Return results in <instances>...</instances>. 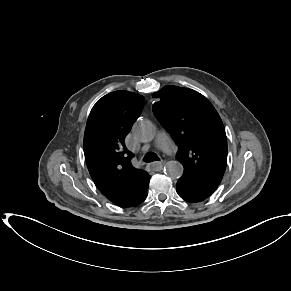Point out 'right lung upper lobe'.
Here are the masks:
<instances>
[{
  "label": "right lung upper lobe",
  "mask_w": 291,
  "mask_h": 291,
  "mask_svg": "<svg viewBox=\"0 0 291 291\" xmlns=\"http://www.w3.org/2000/svg\"><path fill=\"white\" fill-rule=\"evenodd\" d=\"M144 106V97L114 91L93 106L84 133L86 164L97 188L110 201L131 204L148 191L149 174L131 164L124 139Z\"/></svg>",
  "instance_id": "1"
}]
</instances>
